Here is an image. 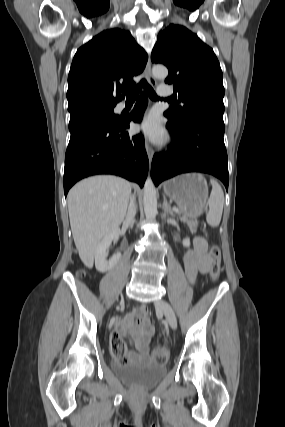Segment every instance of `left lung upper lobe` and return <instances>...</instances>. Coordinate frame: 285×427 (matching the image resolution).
Returning <instances> with one entry per match:
<instances>
[{
    "mask_svg": "<svg viewBox=\"0 0 285 427\" xmlns=\"http://www.w3.org/2000/svg\"><path fill=\"white\" fill-rule=\"evenodd\" d=\"M151 60L167 66L165 82L174 85L182 102L165 112L171 120L179 125L200 116L223 120L222 70L213 50L196 34L170 24L159 32Z\"/></svg>",
    "mask_w": 285,
    "mask_h": 427,
    "instance_id": "obj_1",
    "label": "left lung upper lobe"
}]
</instances>
